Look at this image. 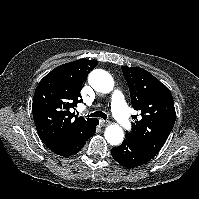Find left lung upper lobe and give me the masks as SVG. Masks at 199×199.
<instances>
[{
  "label": "left lung upper lobe",
  "instance_id": "1",
  "mask_svg": "<svg viewBox=\"0 0 199 199\" xmlns=\"http://www.w3.org/2000/svg\"><path fill=\"white\" fill-rule=\"evenodd\" d=\"M131 103L141 119L135 121L126 135L158 153L175 123V107L170 90L148 71L122 66ZM136 119L137 115L132 116Z\"/></svg>",
  "mask_w": 199,
  "mask_h": 199
}]
</instances>
